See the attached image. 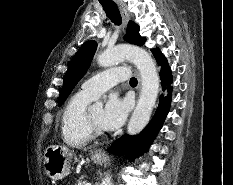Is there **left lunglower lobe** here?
I'll return each mask as SVG.
<instances>
[{
  "instance_id": "1",
  "label": "left lung lower lobe",
  "mask_w": 233,
  "mask_h": 185,
  "mask_svg": "<svg viewBox=\"0 0 233 185\" xmlns=\"http://www.w3.org/2000/svg\"><path fill=\"white\" fill-rule=\"evenodd\" d=\"M151 51L156 58L158 65L162 66L160 71L162 89L164 91L166 88L169 93L165 97L161 95L159 106L155 113V116L145 127V129L140 133V135H124L121 138L115 140L108 149L109 152H112L114 154L127 156L131 161L147 151L158 131L161 129L165 117L169 112L171 103L170 92L172 91V87L169 85L172 83V75L167 60L158 49H152Z\"/></svg>"
}]
</instances>
